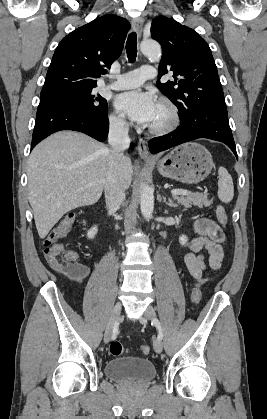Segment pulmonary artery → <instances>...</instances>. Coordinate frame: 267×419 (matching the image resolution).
Wrapping results in <instances>:
<instances>
[{"label":"pulmonary artery","mask_w":267,"mask_h":419,"mask_svg":"<svg viewBox=\"0 0 267 419\" xmlns=\"http://www.w3.org/2000/svg\"><path fill=\"white\" fill-rule=\"evenodd\" d=\"M155 76L156 69L153 66L144 65L139 69L117 76L116 81L110 87L117 90L134 88L141 85L145 80L154 78Z\"/></svg>","instance_id":"1"}]
</instances>
